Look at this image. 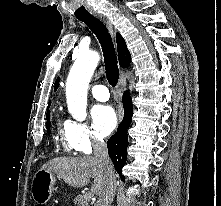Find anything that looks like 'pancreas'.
<instances>
[{
  "instance_id": "cf45deb5",
  "label": "pancreas",
  "mask_w": 221,
  "mask_h": 206,
  "mask_svg": "<svg viewBox=\"0 0 221 206\" xmlns=\"http://www.w3.org/2000/svg\"><path fill=\"white\" fill-rule=\"evenodd\" d=\"M74 204L76 206H90L89 200L85 197V195H78L74 198Z\"/></svg>"
}]
</instances>
